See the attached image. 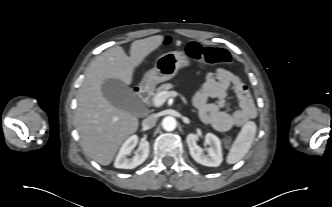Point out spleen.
<instances>
[{
  "mask_svg": "<svg viewBox=\"0 0 332 207\" xmlns=\"http://www.w3.org/2000/svg\"><path fill=\"white\" fill-rule=\"evenodd\" d=\"M256 135V124L253 121L247 122L241 129L233 142L227 155V163L235 164L240 161L250 150Z\"/></svg>",
  "mask_w": 332,
  "mask_h": 207,
  "instance_id": "spleen-1",
  "label": "spleen"
}]
</instances>
